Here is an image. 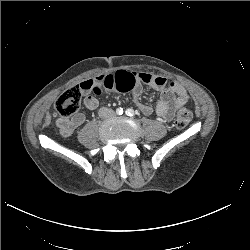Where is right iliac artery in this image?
<instances>
[{
  "instance_id": "1",
  "label": "right iliac artery",
  "mask_w": 250,
  "mask_h": 250,
  "mask_svg": "<svg viewBox=\"0 0 250 250\" xmlns=\"http://www.w3.org/2000/svg\"><path fill=\"white\" fill-rule=\"evenodd\" d=\"M116 114L117 115H122L123 114V108L119 107L116 109Z\"/></svg>"
}]
</instances>
